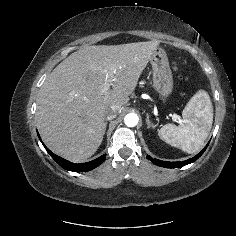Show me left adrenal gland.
Instances as JSON below:
<instances>
[{
  "label": "left adrenal gland",
  "mask_w": 236,
  "mask_h": 236,
  "mask_svg": "<svg viewBox=\"0 0 236 236\" xmlns=\"http://www.w3.org/2000/svg\"><path fill=\"white\" fill-rule=\"evenodd\" d=\"M146 123H147V128H152L154 129L156 127V125H153L149 119V114H147V118H146Z\"/></svg>",
  "instance_id": "1"
}]
</instances>
